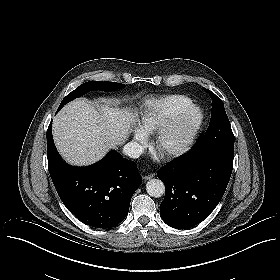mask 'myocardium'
Segmentation results:
<instances>
[{"mask_svg": "<svg viewBox=\"0 0 280 280\" xmlns=\"http://www.w3.org/2000/svg\"><path fill=\"white\" fill-rule=\"evenodd\" d=\"M196 112L198 110L194 106H189L184 113L189 116ZM197 115L191 121H181L178 118H174L164 126L153 142V154L162 158L172 157L186 149L202 124V117L200 114Z\"/></svg>", "mask_w": 280, "mask_h": 280, "instance_id": "f54148a6", "label": "myocardium"}]
</instances>
